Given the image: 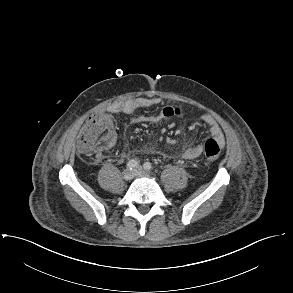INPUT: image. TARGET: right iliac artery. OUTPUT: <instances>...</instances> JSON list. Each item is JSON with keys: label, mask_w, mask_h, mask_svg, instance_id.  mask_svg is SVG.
I'll list each match as a JSON object with an SVG mask.
<instances>
[{"label": "right iliac artery", "mask_w": 293, "mask_h": 293, "mask_svg": "<svg viewBox=\"0 0 293 293\" xmlns=\"http://www.w3.org/2000/svg\"><path fill=\"white\" fill-rule=\"evenodd\" d=\"M139 165V162L136 159H132L130 161L127 162V168L132 170L134 168H136Z\"/></svg>", "instance_id": "1"}]
</instances>
